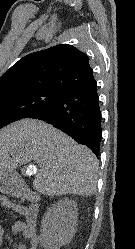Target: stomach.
<instances>
[{
    "label": "stomach",
    "instance_id": "stomach-1",
    "mask_svg": "<svg viewBox=\"0 0 135 249\" xmlns=\"http://www.w3.org/2000/svg\"><path fill=\"white\" fill-rule=\"evenodd\" d=\"M15 174L7 169H0V189L7 183L13 181Z\"/></svg>",
    "mask_w": 135,
    "mask_h": 249
}]
</instances>
